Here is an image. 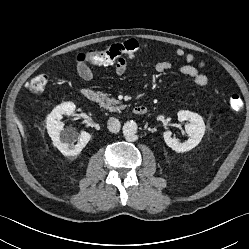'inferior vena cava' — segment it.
Listing matches in <instances>:
<instances>
[{"instance_id":"inferior-vena-cava-1","label":"inferior vena cava","mask_w":249,"mask_h":249,"mask_svg":"<svg viewBox=\"0 0 249 249\" xmlns=\"http://www.w3.org/2000/svg\"><path fill=\"white\" fill-rule=\"evenodd\" d=\"M107 125L108 130L112 133L119 132L121 127L120 121L114 117L109 118Z\"/></svg>"}]
</instances>
